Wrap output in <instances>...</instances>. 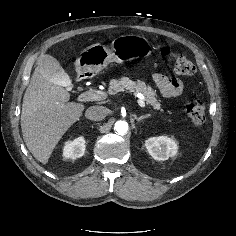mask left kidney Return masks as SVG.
Returning a JSON list of instances; mask_svg holds the SVG:
<instances>
[{"instance_id": "5707ae66", "label": "left kidney", "mask_w": 236, "mask_h": 236, "mask_svg": "<svg viewBox=\"0 0 236 236\" xmlns=\"http://www.w3.org/2000/svg\"><path fill=\"white\" fill-rule=\"evenodd\" d=\"M145 146L148 153L157 161H165L169 157H174L178 150L176 141L166 136L149 138L146 140Z\"/></svg>"}]
</instances>
